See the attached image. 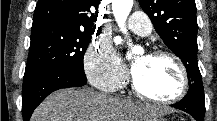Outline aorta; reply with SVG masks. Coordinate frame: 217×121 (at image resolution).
<instances>
[{"label":"aorta","instance_id":"762f6f07","mask_svg":"<svg viewBox=\"0 0 217 121\" xmlns=\"http://www.w3.org/2000/svg\"><path fill=\"white\" fill-rule=\"evenodd\" d=\"M133 6V0H112V10L121 31L126 34L125 22ZM134 50V49H133Z\"/></svg>","mask_w":217,"mask_h":121}]
</instances>
